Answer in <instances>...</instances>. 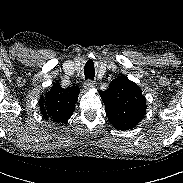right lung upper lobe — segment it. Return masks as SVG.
<instances>
[{
	"label": "right lung upper lobe",
	"instance_id": "1",
	"mask_svg": "<svg viewBox=\"0 0 183 183\" xmlns=\"http://www.w3.org/2000/svg\"><path fill=\"white\" fill-rule=\"evenodd\" d=\"M79 92L78 86L64 89L58 83H54L39 100L43 117L54 122H66L72 116Z\"/></svg>",
	"mask_w": 183,
	"mask_h": 183
}]
</instances>
